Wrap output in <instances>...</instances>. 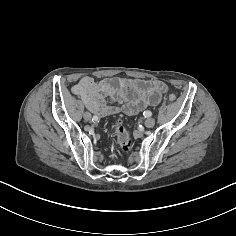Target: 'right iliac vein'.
Wrapping results in <instances>:
<instances>
[{
	"mask_svg": "<svg viewBox=\"0 0 236 236\" xmlns=\"http://www.w3.org/2000/svg\"><path fill=\"white\" fill-rule=\"evenodd\" d=\"M83 118H84V120H86V121H91L92 115H91L90 112H85V113L83 114Z\"/></svg>",
	"mask_w": 236,
	"mask_h": 236,
	"instance_id": "obj_1",
	"label": "right iliac vein"
}]
</instances>
